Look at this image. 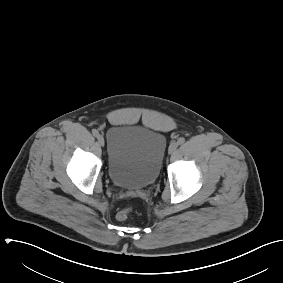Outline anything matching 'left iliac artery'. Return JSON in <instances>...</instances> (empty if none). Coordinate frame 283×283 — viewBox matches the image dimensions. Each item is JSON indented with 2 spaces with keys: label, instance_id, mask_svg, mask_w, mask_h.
I'll list each match as a JSON object with an SVG mask.
<instances>
[{
  "label": "left iliac artery",
  "instance_id": "44dca946",
  "mask_svg": "<svg viewBox=\"0 0 283 283\" xmlns=\"http://www.w3.org/2000/svg\"><path fill=\"white\" fill-rule=\"evenodd\" d=\"M185 142V139L183 138V137H180L179 139H178V144H182V143H184Z\"/></svg>",
  "mask_w": 283,
  "mask_h": 283
}]
</instances>
